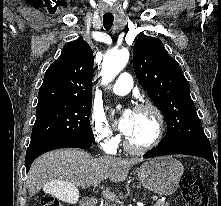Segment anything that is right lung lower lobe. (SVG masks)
<instances>
[{"instance_id":"98d812e1","label":"right lung lower lobe","mask_w":221,"mask_h":206,"mask_svg":"<svg viewBox=\"0 0 221 206\" xmlns=\"http://www.w3.org/2000/svg\"><path fill=\"white\" fill-rule=\"evenodd\" d=\"M92 144H93L92 141H87V140H62V141H55V142H49V143L31 146L27 149L26 152V158H25L26 171L30 169L32 162L38 156L42 155L45 152L59 148H66V147L87 149L91 147Z\"/></svg>"}]
</instances>
